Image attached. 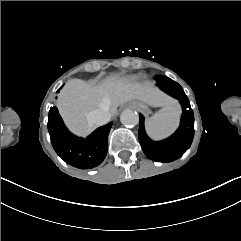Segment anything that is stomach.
I'll list each match as a JSON object with an SVG mask.
<instances>
[{
	"instance_id": "stomach-1",
	"label": "stomach",
	"mask_w": 241,
	"mask_h": 241,
	"mask_svg": "<svg viewBox=\"0 0 241 241\" xmlns=\"http://www.w3.org/2000/svg\"><path fill=\"white\" fill-rule=\"evenodd\" d=\"M133 104L136 105V106H139L141 108H144V109L146 107L143 103H140V102H133Z\"/></svg>"
}]
</instances>
